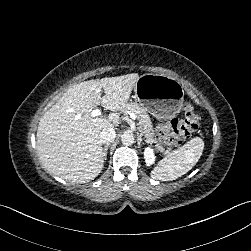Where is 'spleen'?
I'll return each instance as SVG.
<instances>
[{
    "label": "spleen",
    "instance_id": "spleen-1",
    "mask_svg": "<svg viewBox=\"0 0 251 251\" xmlns=\"http://www.w3.org/2000/svg\"><path fill=\"white\" fill-rule=\"evenodd\" d=\"M204 149L200 137L192 138L183 147L169 153L151 172V178L169 181L181 177L198 162Z\"/></svg>",
    "mask_w": 251,
    "mask_h": 251
}]
</instances>
